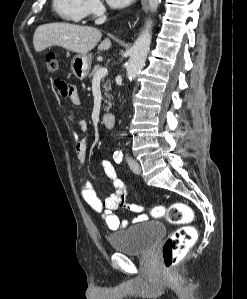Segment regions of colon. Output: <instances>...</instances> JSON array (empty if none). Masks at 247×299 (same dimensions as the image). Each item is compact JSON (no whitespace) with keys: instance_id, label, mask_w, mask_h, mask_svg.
Segmentation results:
<instances>
[{"instance_id":"5ec220e1","label":"colon","mask_w":247,"mask_h":299,"mask_svg":"<svg viewBox=\"0 0 247 299\" xmlns=\"http://www.w3.org/2000/svg\"><path fill=\"white\" fill-rule=\"evenodd\" d=\"M45 63L48 72L55 73L58 70V59L54 53H47ZM151 215L165 218L172 225H179L162 246L163 266L166 270H169L184 258L196 240L197 231L189 224L193 219V212L186 204L175 202L167 207H153Z\"/></svg>"}]
</instances>
